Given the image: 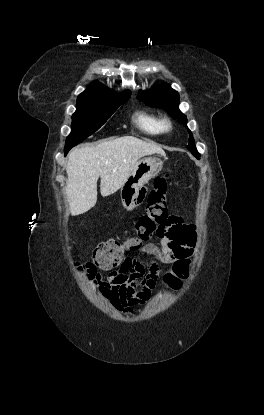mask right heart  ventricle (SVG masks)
I'll use <instances>...</instances> for the list:
<instances>
[{
	"mask_svg": "<svg viewBox=\"0 0 264 415\" xmlns=\"http://www.w3.org/2000/svg\"><path fill=\"white\" fill-rule=\"evenodd\" d=\"M161 121L159 115L145 110L137 111L133 118L137 129L147 136H157L163 132Z\"/></svg>",
	"mask_w": 264,
	"mask_h": 415,
	"instance_id": "e07e8e85",
	"label": "right heart ventricle"
}]
</instances>
